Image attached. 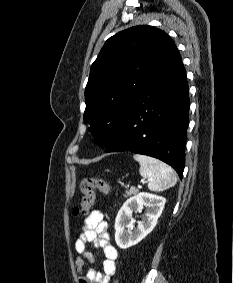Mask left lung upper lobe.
Listing matches in <instances>:
<instances>
[{"label": "left lung upper lobe", "instance_id": "5c2ea615", "mask_svg": "<svg viewBox=\"0 0 233 283\" xmlns=\"http://www.w3.org/2000/svg\"><path fill=\"white\" fill-rule=\"evenodd\" d=\"M174 47L170 36L149 25L123 30L105 42L85 88L84 123L99 146L117 137L147 80Z\"/></svg>", "mask_w": 233, "mask_h": 283}]
</instances>
